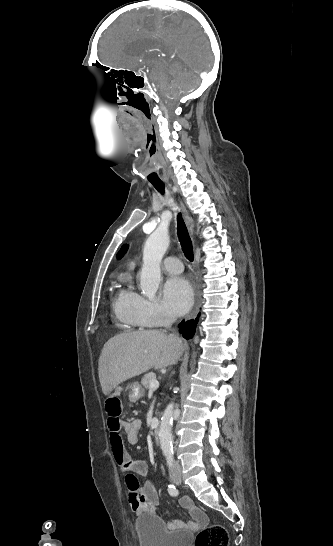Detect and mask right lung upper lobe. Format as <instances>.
<instances>
[{"instance_id":"obj_1","label":"right lung upper lobe","mask_w":333,"mask_h":546,"mask_svg":"<svg viewBox=\"0 0 333 546\" xmlns=\"http://www.w3.org/2000/svg\"><path fill=\"white\" fill-rule=\"evenodd\" d=\"M127 248H128V245H123L120 252L117 255V258H121L125 254Z\"/></svg>"}]
</instances>
